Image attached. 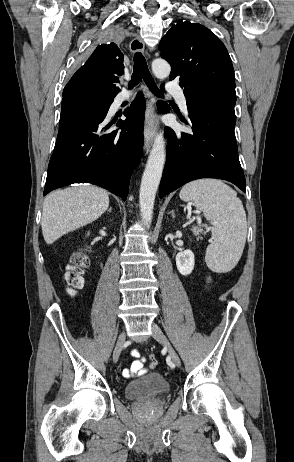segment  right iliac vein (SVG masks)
<instances>
[{"mask_svg": "<svg viewBox=\"0 0 294 462\" xmlns=\"http://www.w3.org/2000/svg\"><path fill=\"white\" fill-rule=\"evenodd\" d=\"M124 344H125V333L122 332L118 337L116 346H115L114 351H113V362L114 363H116L118 361L119 356L121 354V351H122V349L124 347Z\"/></svg>", "mask_w": 294, "mask_h": 462, "instance_id": "obj_1", "label": "right iliac vein"}]
</instances>
